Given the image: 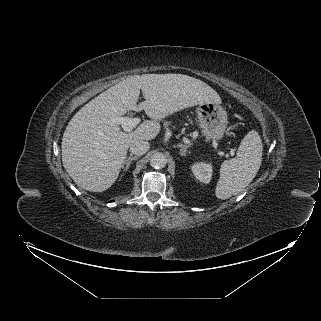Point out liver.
Instances as JSON below:
<instances>
[{"mask_svg": "<svg viewBox=\"0 0 321 321\" xmlns=\"http://www.w3.org/2000/svg\"><path fill=\"white\" fill-rule=\"evenodd\" d=\"M142 90L144 102L137 105ZM216 102L220 96L203 81L183 74L135 75L119 82L84 105L70 120L62 138L65 170L81 188L102 192L113 185L137 140H152L158 122L182 109ZM145 110L144 121L130 132L113 123L129 110Z\"/></svg>", "mask_w": 321, "mask_h": 321, "instance_id": "liver-1", "label": "liver"}]
</instances>
